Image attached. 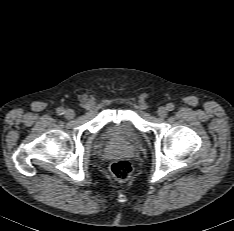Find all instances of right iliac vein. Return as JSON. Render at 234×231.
Wrapping results in <instances>:
<instances>
[{"instance_id": "right-iliac-vein-1", "label": "right iliac vein", "mask_w": 234, "mask_h": 231, "mask_svg": "<svg viewBox=\"0 0 234 231\" xmlns=\"http://www.w3.org/2000/svg\"><path fill=\"white\" fill-rule=\"evenodd\" d=\"M74 116H75V113H74V111H73L72 109H67V110L65 111V117H66L67 119H73Z\"/></svg>"}]
</instances>
